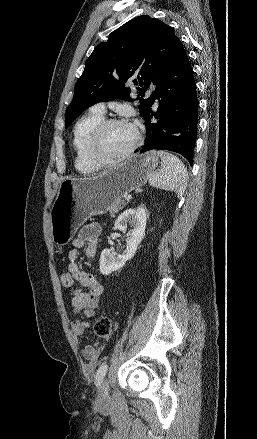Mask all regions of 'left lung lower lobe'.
I'll return each mask as SVG.
<instances>
[{"mask_svg":"<svg viewBox=\"0 0 257 439\" xmlns=\"http://www.w3.org/2000/svg\"><path fill=\"white\" fill-rule=\"evenodd\" d=\"M152 105H160L144 117L147 129L145 144L137 152L153 149L169 150L184 156L190 164L198 130V104L196 84L187 54L178 40L172 59L151 94ZM152 117L158 121L152 122Z\"/></svg>","mask_w":257,"mask_h":439,"instance_id":"0a47b994","label":"left lung lower lobe"}]
</instances>
